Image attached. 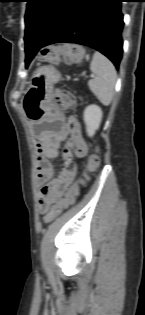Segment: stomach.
Here are the masks:
<instances>
[{"label":"stomach","mask_w":145,"mask_h":315,"mask_svg":"<svg viewBox=\"0 0 145 315\" xmlns=\"http://www.w3.org/2000/svg\"><path fill=\"white\" fill-rule=\"evenodd\" d=\"M59 78V72H33L32 85L22 95L26 120L46 122V116H56V109L47 105L46 98L49 91L54 90V83Z\"/></svg>","instance_id":"stomach-1"}]
</instances>
